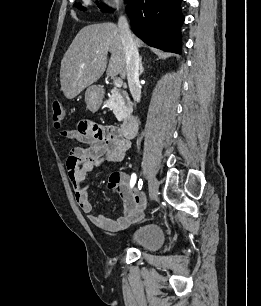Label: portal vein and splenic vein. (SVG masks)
<instances>
[{"label": "portal vein and splenic vein", "mask_w": 261, "mask_h": 306, "mask_svg": "<svg viewBox=\"0 0 261 306\" xmlns=\"http://www.w3.org/2000/svg\"><path fill=\"white\" fill-rule=\"evenodd\" d=\"M113 82H114V86L117 88L122 87L123 85V81L121 78H114Z\"/></svg>", "instance_id": "obj_1"}]
</instances>
